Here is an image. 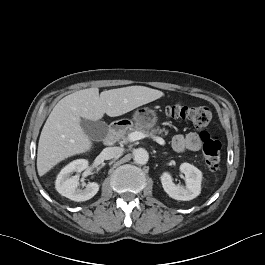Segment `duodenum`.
<instances>
[{"instance_id": "duodenum-1", "label": "duodenum", "mask_w": 265, "mask_h": 265, "mask_svg": "<svg viewBox=\"0 0 265 265\" xmlns=\"http://www.w3.org/2000/svg\"><path fill=\"white\" fill-rule=\"evenodd\" d=\"M126 126L125 122H115L110 126L109 133L104 140L106 146H112L118 140L120 134L122 133L124 127Z\"/></svg>"}]
</instances>
